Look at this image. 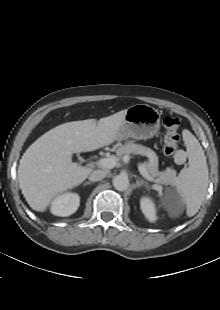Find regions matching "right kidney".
I'll return each mask as SVG.
<instances>
[{
	"label": "right kidney",
	"instance_id": "obj_1",
	"mask_svg": "<svg viewBox=\"0 0 220 310\" xmlns=\"http://www.w3.org/2000/svg\"><path fill=\"white\" fill-rule=\"evenodd\" d=\"M80 197L77 193L66 192L54 198L51 203V213L56 216L66 217L78 209Z\"/></svg>",
	"mask_w": 220,
	"mask_h": 310
}]
</instances>
